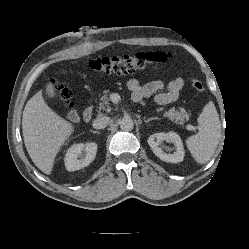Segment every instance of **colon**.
<instances>
[{"instance_id":"1","label":"colon","mask_w":249,"mask_h":249,"mask_svg":"<svg viewBox=\"0 0 249 249\" xmlns=\"http://www.w3.org/2000/svg\"><path fill=\"white\" fill-rule=\"evenodd\" d=\"M170 55L160 51H143L123 56H105L85 61V65L96 72L129 74L148 68H161L167 64ZM188 82L196 91H203V82L195 75L188 76ZM59 100L67 109L73 107L72 93L69 88L55 83Z\"/></svg>"}]
</instances>
